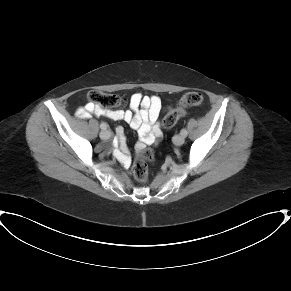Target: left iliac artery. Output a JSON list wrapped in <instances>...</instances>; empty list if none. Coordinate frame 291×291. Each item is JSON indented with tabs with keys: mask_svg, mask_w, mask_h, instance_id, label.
Segmentation results:
<instances>
[{
	"mask_svg": "<svg viewBox=\"0 0 291 291\" xmlns=\"http://www.w3.org/2000/svg\"><path fill=\"white\" fill-rule=\"evenodd\" d=\"M180 134L183 136H187L188 132L186 129H182Z\"/></svg>",
	"mask_w": 291,
	"mask_h": 291,
	"instance_id": "left-iliac-artery-1",
	"label": "left iliac artery"
}]
</instances>
